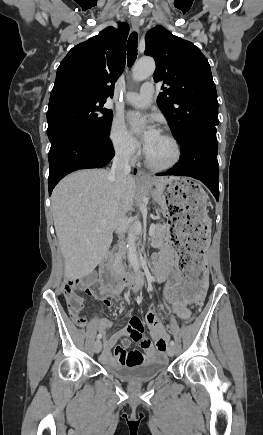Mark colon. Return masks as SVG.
<instances>
[{"label":"colon","mask_w":263,"mask_h":435,"mask_svg":"<svg viewBox=\"0 0 263 435\" xmlns=\"http://www.w3.org/2000/svg\"><path fill=\"white\" fill-rule=\"evenodd\" d=\"M80 290H85L86 294L89 297H95L97 295L98 289L95 285H87L83 280H69L65 283L64 286V295L67 303V307L69 313L73 320L81 325L84 321V318L81 316V311L83 309V298L77 293ZM183 326L187 324L188 326L191 324L189 321L185 323L184 321L181 323ZM174 324L171 321L167 322L165 331L169 332L170 329H174L172 326ZM152 341L155 343L153 336ZM168 341V339H167Z\"/></svg>","instance_id":"5ec220e1"}]
</instances>
